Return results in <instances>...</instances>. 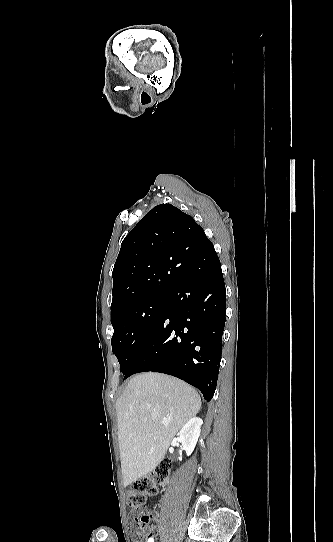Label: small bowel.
Returning <instances> with one entry per match:
<instances>
[{
  "label": "small bowel",
  "mask_w": 333,
  "mask_h": 542,
  "mask_svg": "<svg viewBox=\"0 0 333 542\" xmlns=\"http://www.w3.org/2000/svg\"><path fill=\"white\" fill-rule=\"evenodd\" d=\"M158 535H159V530L158 529H153L152 533L150 534V537L152 539H155Z\"/></svg>",
  "instance_id": "1"
}]
</instances>
